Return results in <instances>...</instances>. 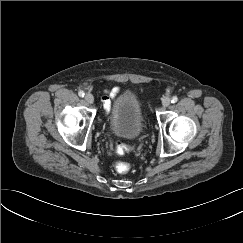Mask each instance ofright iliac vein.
I'll list each match as a JSON object with an SVG mask.
<instances>
[{
    "label": "right iliac vein",
    "instance_id": "obj_1",
    "mask_svg": "<svg viewBox=\"0 0 243 243\" xmlns=\"http://www.w3.org/2000/svg\"><path fill=\"white\" fill-rule=\"evenodd\" d=\"M84 98H85L86 102L89 103V104H92L93 101H94V97L90 93H87Z\"/></svg>",
    "mask_w": 243,
    "mask_h": 243
}]
</instances>
